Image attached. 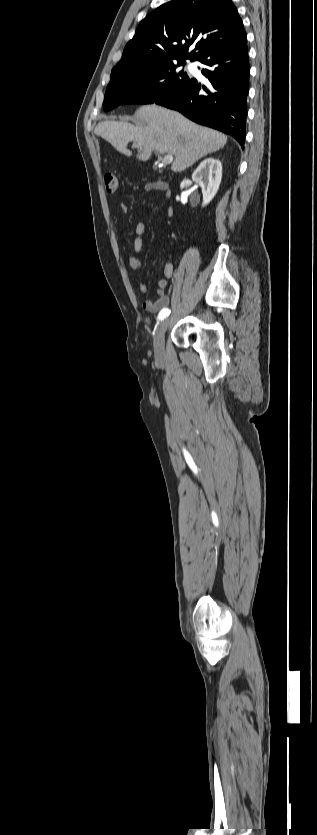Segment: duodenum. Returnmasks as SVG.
<instances>
[{
	"instance_id": "obj_1",
	"label": "duodenum",
	"mask_w": 317,
	"mask_h": 835,
	"mask_svg": "<svg viewBox=\"0 0 317 835\" xmlns=\"http://www.w3.org/2000/svg\"><path fill=\"white\" fill-rule=\"evenodd\" d=\"M156 186L160 191L163 192L165 197H167V198L170 197L171 192H170V189H169L168 185L165 182H157Z\"/></svg>"
}]
</instances>
